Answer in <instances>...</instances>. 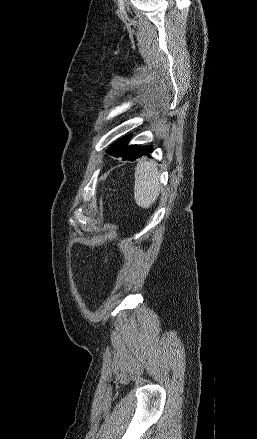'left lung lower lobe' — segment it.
I'll list each match as a JSON object with an SVG mask.
<instances>
[{
  "label": "left lung lower lobe",
  "instance_id": "1",
  "mask_svg": "<svg viewBox=\"0 0 257 439\" xmlns=\"http://www.w3.org/2000/svg\"><path fill=\"white\" fill-rule=\"evenodd\" d=\"M152 152L151 146H136L135 149L127 156L122 157L123 160L134 161L142 156L150 157V153Z\"/></svg>",
  "mask_w": 257,
  "mask_h": 439
}]
</instances>
